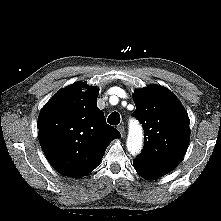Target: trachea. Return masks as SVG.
<instances>
[{"instance_id":"1","label":"trachea","mask_w":221,"mask_h":221,"mask_svg":"<svg viewBox=\"0 0 221 221\" xmlns=\"http://www.w3.org/2000/svg\"><path fill=\"white\" fill-rule=\"evenodd\" d=\"M108 123L111 125H118L120 123V115L118 112H112L108 117Z\"/></svg>"}]
</instances>
